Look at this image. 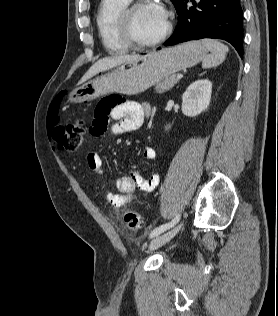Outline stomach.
Wrapping results in <instances>:
<instances>
[{"mask_svg": "<svg viewBox=\"0 0 278 316\" xmlns=\"http://www.w3.org/2000/svg\"><path fill=\"white\" fill-rule=\"evenodd\" d=\"M199 41L155 51L141 59L125 63L71 91L68 102L81 103L109 93L138 94L176 72L192 67L206 55Z\"/></svg>", "mask_w": 278, "mask_h": 316, "instance_id": "stomach-1", "label": "stomach"}]
</instances>
